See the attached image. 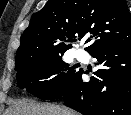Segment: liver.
<instances>
[{
	"label": "liver",
	"instance_id": "obj_1",
	"mask_svg": "<svg viewBox=\"0 0 131 115\" xmlns=\"http://www.w3.org/2000/svg\"><path fill=\"white\" fill-rule=\"evenodd\" d=\"M4 115H77V113L57 105H42L32 100H18L12 103Z\"/></svg>",
	"mask_w": 131,
	"mask_h": 115
}]
</instances>
